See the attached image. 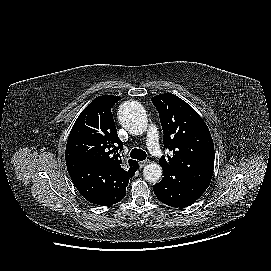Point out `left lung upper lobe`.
<instances>
[{"mask_svg":"<svg viewBox=\"0 0 271 271\" xmlns=\"http://www.w3.org/2000/svg\"><path fill=\"white\" fill-rule=\"evenodd\" d=\"M164 146L173 153L161 157L163 171H176L208 188L214 168V144L210 131L198 113L172 93L154 96Z\"/></svg>","mask_w":271,"mask_h":271,"instance_id":"5c2ea615","label":"left lung upper lobe"}]
</instances>
